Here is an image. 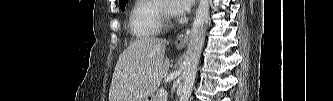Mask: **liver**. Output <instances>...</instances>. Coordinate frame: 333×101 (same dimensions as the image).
Wrapping results in <instances>:
<instances>
[{"instance_id":"obj_1","label":"liver","mask_w":333,"mask_h":101,"mask_svg":"<svg viewBox=\"0 0 333 101\" xmlns=\"http://www.w3.org/2000/svg\"><path fill=\"white\" fill-rule=\"evenodd\" d=\"M166 41L155 37L130 43L117 61L109 101H146L169 71Z\"/></svg>"}]
</instances>
